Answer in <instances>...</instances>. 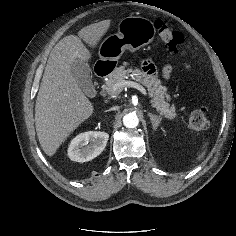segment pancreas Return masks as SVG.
Instances as JSON below:
<instances>
[{
	"label": "pancreas",
	"mask_w": 236,
	"mask_h": 236,
	"mask_svg": "<svg viewBox=\"0 0 236 236\" xmlns=\"http://www.w3.org/2000/svg\"><path fill=\"white\" fill-rule=\"evenodd\" d=\"M124 66L117 67L109 76L108 80L103 85V89L111 96H117L121 91H113V86L125 79L131 78L145 87H147L150 97H153L151 102L153 106L169 120H174L177 116L176 108L174 105H170L167 101L170 100V96L167 94L166 87L161 85V80L156 75H150L147 72L140 70L139 68H127Z\"/></svg>",
	"instance_id": "1"
}]
</instances>
